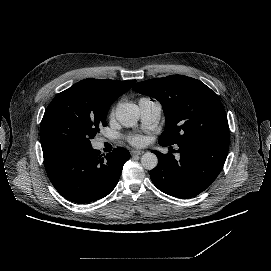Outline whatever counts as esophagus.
<instances>
[{"label": "esophagus", "mask_w": 271, "mask_h": 271, "mask_svg": "<svg viewBox=\"0 0 271 271\" xmlns=\"http://www.w3.org/2000/svg\"><path fill=\"white\" fill-rule=\"evenodd\" d=\"M144 151L142 150H132L131 155H142Z\"/></svg>", "instance_id": "1"}]
</instances>
